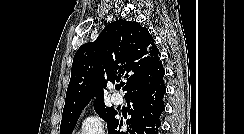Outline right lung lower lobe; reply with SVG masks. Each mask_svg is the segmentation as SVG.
Wrapping results in <instances>:
<instances>
[{
  "instance_id": "1",
  "label": "right lung lower lobe",
  "mask_w": 244,
  "mask_h": 134,
  "mask_svg": "<svg viewBox=\"0 0 244 134\" xmlns=\"http://www.w3.org/2000/svg\"><path fill=\"white\" fill-rule=\"evenodd\" d=\"M163 77L125 96L128 103H133L131 119L126 122L127 130L122 129L123 121L115 118L108 126V134H158L166 92Z\"/></svg>"
}]
</instances>
